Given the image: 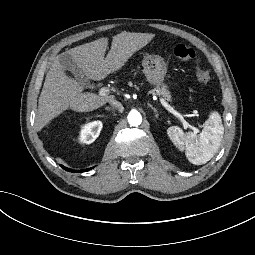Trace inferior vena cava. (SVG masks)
Instances as JSON below:
<instances>
[{
	"instance_id": "1",
	"label": "inferior vena cava",
	"mask_w": 255,
	"mask_h": 255,
	"mask_svg": "<svg viewBox=\"0 0 255 255\" xmlns=\"http://www.w3.org/2000/svg\"><path fill=\"white\" fill-rule=\"evenodd\" d=\"M109 103H110V105H111L113 108H115V109L118 110L119 112H123V111H124V107L122 106V104H121L119 101H117V100H115V99H111V100L109 101Z\"/></svg>"
}]
</instances>
